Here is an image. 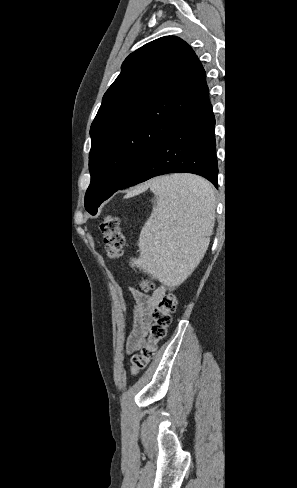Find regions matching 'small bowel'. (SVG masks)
Listing matches in <instances>:
<instances>
[{"instance_id": "c3829d8e", "label": "small bowel", "mask_w": 297, "mask_h": 488, "mask_svg": "<svg viewBox=\"0 0 297 488\" xmlns=\"http://www.w3.org/2000/svg\"><path fill=\"white\" fill-rule=\"evenodd\" d=\"M169 286L159 285L152 294L132 291L134 299L133 330L128 338V347L136 349L145 339L148 326L152 322V314L161 297L166 295Z\"/></svg>"}]
</instances>
